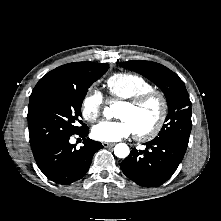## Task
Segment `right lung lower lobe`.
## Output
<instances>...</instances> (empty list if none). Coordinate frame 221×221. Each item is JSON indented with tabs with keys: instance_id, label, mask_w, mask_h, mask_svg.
<instances>
[{
	"instance_id": "obj_1",
	"label": "right lung lower lobe",
	"mask_w": 221,
	"mask_h": 221,
	"mask_svg": "<svg viewBox=\"0 0 221 221\" xmlns=\"http://www.w3.org/2000/svg\"><path fill=\"white\" fill-rule=\"evenodd\" d=\"M88 132L85 126L73 134L84 140V145L78 150L69 142L70 136L55 138L33 150L38 167L49 180L68 185L87 173L94 153L102 148L100 142L86 138Z\"/></svg>"
}]
</instances>
